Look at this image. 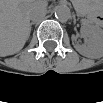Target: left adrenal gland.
Masks as SVG:
<instances>
[{
	"mask_svg": "<svg viewBox=\"0 0 103 103\" xmlns=\"http://www.w3.org/2000/svg\"><path fill=\"white\" fill-rule=\"evenodd\" d=\"M74 24H76V19H74Z\"/></svg>",
	"mask_w": 103,
	"mask_h": 103,
	"instance_id": "left-adrenal-gland-1",
	"label": "left adrenal gland"
}]
</instances>
